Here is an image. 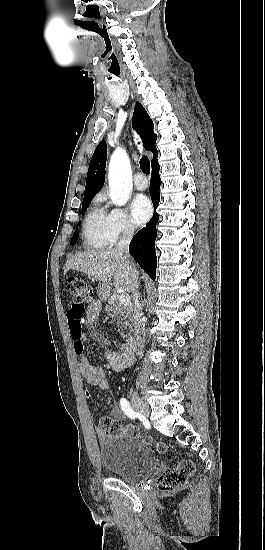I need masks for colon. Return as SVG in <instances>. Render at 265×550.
<instances>
[{
  "mask_svg": "<svg viewBox=\"0 0 265 550\" xmlns=\"http://www.w3.org/2000/svg\"><path fill=\"white\" fill-rule=\"evenodd\" d=\"M69 285L72 295V305L68 310L70 319V328L75 336L81 331V324L75 323V320L82 321L85 315V306L92 300V287L83 279L71 277ZM101 431L108 436H124L140 439L146 444L152 442L151 437L141 433V431L133 425H124L120 421L111 418L103 417L100 420ZM156 449L160 453H164L167 447L163 443H158ZM195 470L194 464L189 460L180 461L174 468L163 471L157 479V489L162 493H172L179 490L186 483L187 479Z\"/></svg>",
  "mask_w": 265,
  "mask_h": 550,
  "instance_id": "5ec220e1",
  "label": "colon"
}]
</instances>
